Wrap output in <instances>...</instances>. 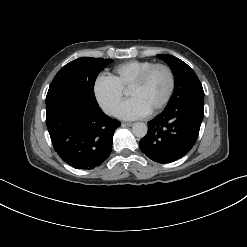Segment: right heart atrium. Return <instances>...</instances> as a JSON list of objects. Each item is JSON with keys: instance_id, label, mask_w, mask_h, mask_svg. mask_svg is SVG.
I'll return each mask as SVG.
<instances>
[{"instance_id": "right-heart-atrium-1", "label": "right heart atrium", "mask_w": 247, "mask_h": 247, "mask_svg": "<svg viewBox=\"0 0 247 247\" xmlns=\"http://www.w3.org/2000/svg\"><path fill=\"white\" fill-rule=\"evenodd\" d=\"M93 93L100 107L109 115L116 113L124 97L123 89L108 75L96 78Z\"/></svg>"}]
</instances>
